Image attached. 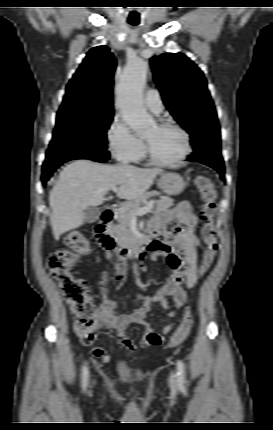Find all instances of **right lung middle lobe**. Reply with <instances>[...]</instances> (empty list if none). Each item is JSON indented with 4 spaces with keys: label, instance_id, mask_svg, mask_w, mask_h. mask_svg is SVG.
<instances>
[{
    "label": "right lung middle lobe",
    "instance_id": "obj_1",
    "mask_svg": "<svg viewBox=\"0 0 273 430\" xmlns=\"http://www.w3.org/2000/svg\"><path fill=\"white\" fill-rule=\"evenodd\" d=\"M112 120L113 111L59 109L43 167L107 153L106 130Z\"/></svg>",
    "mask_w": 273,
    "mask_h": 430
}]
</instances>
